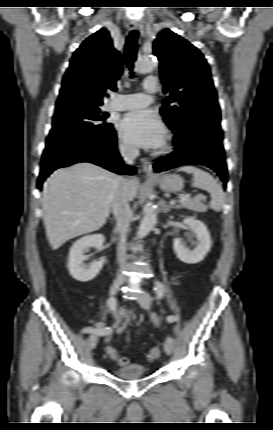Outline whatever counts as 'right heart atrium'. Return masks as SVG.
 <instances>
[{"label": "right heart atrium", "mask_w": 273, "mask_h": 430, "mask_svg": "<svg viewBox=\"0 0 273 430\" xmlns=\"http://www.w3.org/2000/svg\"><path fill=\"white\" fill-rule=\"evenodd\" d=\"M120 150L126 155H132L135 152V149L131 145L123 141L120 142Z\"/></svg>", "instance_id": "d8ad5b80"}]
</instances>
